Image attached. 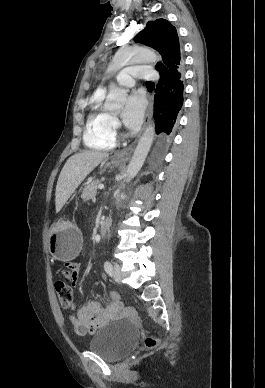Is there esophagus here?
Segmentation results:
<instances>
[{
	"label": "esophagus",
	"instance_id": "1",
	"mask_svg": "<svg viewBox=\"0 0 265 388\" xmlns=\"http://www.w3.org/2000/svg\"><path fill=\"white\" fill-rule=\"evenodd\" d=\"M151 117H152V107L148 108V110L145 114L144 125H143L142 131L145 129L146 125L150 122ZM135 145H136V142L133 143L132 145H130L129 147L121 150L120 152H117L115 154L116 158L120 161L127 162L133 153Z\"/></svg>",
	"mask_w": 265,
	"mask_h": 388
}]
</instances>
